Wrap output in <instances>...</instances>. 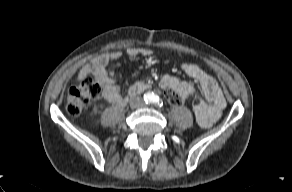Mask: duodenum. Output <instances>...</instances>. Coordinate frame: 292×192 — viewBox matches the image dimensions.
<instances>
[{"label":"duodenum","instance_id":"duodenum-1","mask_svg":"<svg viewBox=\"0 0 292 192\" xmlns=\"http://www.w3.org/2000/svg\"><path fill=\"white\" fill-rule=\"evenodd\" d=\"M146 85L144 83H137L134 86L131 87L129 90L128 96H134L136 94L141 93L145 89Z\"/></svg>","mask_w":292,"mask_h":192}]
</instances>
